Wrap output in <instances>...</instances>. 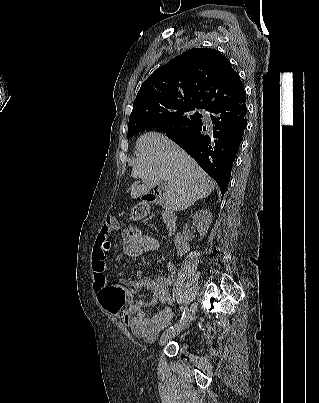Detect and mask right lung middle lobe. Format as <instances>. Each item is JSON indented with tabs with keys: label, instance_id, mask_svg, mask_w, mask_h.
Instances as JSON below:
<instances>
[{
	"label": "right lung middle lobe",
	"instance_id": "dd1d6c3e",
	"mask_svg": "<svg viewBox=\"0 0 319 403\" xmlns=\"http://www.w3.org/2000/svg\"><path fill=\"white\" fill-rule=\"evenodd\" d=\"M198 106L186 104H162L144 109L139 115L129 119L127 138L150 128L160 131L183 128L199 122L202 116L191 111Z\"/></svg>",
	"mask_w": 319,
	"mask_h": 403
}]
</instances>
